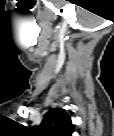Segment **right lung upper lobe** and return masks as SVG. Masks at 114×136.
Instances as JSON below:
<instances>
[{
	"label": "right lung upper lobe",
	"instance_id": "obj_1",
	"mask_svg": "<svg viewBox=\"0 0 114 136\" xmlns=\"http://www.w3.org/2000/svg\"><path fill=\"white\" fill-rule=\"evenodd\" d=\"M39 136H72L74 125L64 109H51L39 126H34Z\"/></svg>",
	"mask_w": 114,
	"mask_h": 136
}]
</instances>
